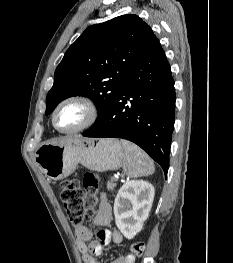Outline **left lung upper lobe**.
Segmentation results:
<instances>
[{
	"instance_id": "5c2ea615",
	"label": "left lung upper lobe",
	"mask_w": 233,
	"mask_h": 263,
	"mask_svg": "<svg viewBox=\"0 0 233 263\" xmlns=\"http://www.w3.org/2000/svg\"><path fill=\"white\" fill-rule=\"evenodd\" d=\"M155 39L151 28L132 14L88 27L55 71L46 114L63 99L82 95L96 103L95 126L115 102L131 68Z\"/></svg>"
}]
</instances>
